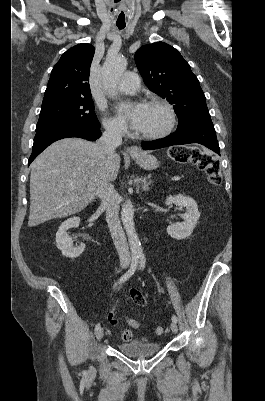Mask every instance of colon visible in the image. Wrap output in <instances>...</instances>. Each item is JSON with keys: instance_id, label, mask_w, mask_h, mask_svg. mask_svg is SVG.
<instances>
[{"instance_id": "colon-1", "label": "colon", "mask_w": 265, "mask_h": 401, "mask_svg": "<svg viewBox=\"0 0 265 401\" xmlns=\"http://www.w3.org/2000/svg\"><path fill=\"white\" fill-rule=\"evenodd\" d=\"M168 156L176 162H193L199 169L206 173L208 182L213 186H218L222 181L220 164L211 153L197 147L176 146L168 150ZM109 318L113 320L111 315H109ZM127 321L134 327L138 325L133 319H128ZM163 333L164 328L158 326L156 328V334L162 335ZM121 335L123 337H128L129 331L123 330Z\"/></svg>"}]
</instances>
